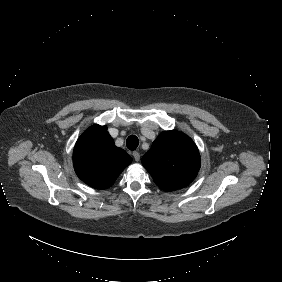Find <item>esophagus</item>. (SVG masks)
Segmentation results:
<instances>
[{"label": "esophagus", "mask_w": 282, "mask_h": 282, "mask_svg": "<svg viewBox=\"0 0 282 282\" xmlns=\"http://www.w3.org/2000/svg\"><path fill=\"white\" fill-rule=\"evenodd\" d=\"M133 157L135 159L136 162H138L140 160V154L137 151L133 152Z\"/></svg>", "instance_id": "esophagus-1"}]
</instances>
